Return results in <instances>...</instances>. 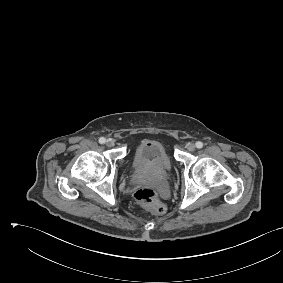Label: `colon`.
I'll list each match as a JSON object with an SVG mask.
<instances>
[{"instance_id":"obj_1","label":"colon","mask_w":283,"mask_h":283,"mask_svg":"<svg viewBox=\"0 0 283 283\" xmlns=\"http://www.w3.org/2000/svg\"><path fill=\"white\" fill-rule=\"evenodd\" d=\"M134 199L145 210L155 215L165 212V206L160 201L157 192L151 188H141L134 193Z\"/></svg>"}]
</instances>
